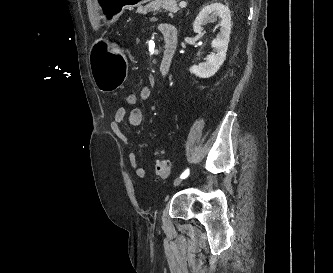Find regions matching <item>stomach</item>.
I'll return each instance as SVG.
<instances>
[{
  "mask_svg": "<svg viewBox=\"0 0 333 273\" xmlns=\"http://www.w3.org/2000/svg\"><path fill=\"white\" fill-rule=\"evenodd\" d=\"M150 0H93L99 4L98 14H102L101 23H118V16L124 9L139 7ZM127 58L114 49L111 39H98L93 45L91 72L96 86L102 92L113 91L122 85L126 75Z\"/></svg>",
  "mask_w": 333,
  "mask_h": 273,
  "instance_id": "1",
  "label": "stomach"
}]
</instances>
